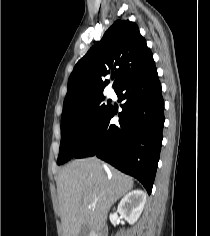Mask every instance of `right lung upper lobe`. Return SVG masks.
<instances>
[{"label":"right lung upper lobe","instance_id":"obj_1","mask_svg":"<svg viewBox=\"0 0 210 236\" xmlns=\"http://www.w3.org/2000/svg\"><path fill=\"white\" fill-rule=\"evenodd\" d=\"M154 64L151 50L141 36L138 26L130 21L117 20L75 65L68 80L63 113L74 110L84 102L103 96L108 81L104 77L113 70L118 86Z\"/></svg>","mask_w":210,"mask_h":236}]
</instances>
